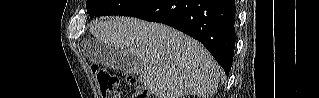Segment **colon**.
<instances>
[{"label":"colon","instance_id":"5ec220e1","mask_svg":"<svg viewBox=\"0 0 319 98\" xmlns=\"http://www.w3.org/2000/svg\"><path fill=\"white\" fill-rule=\"evenodd\" d=\"M92 72L97 79L101 91V96L103 98L120 97V92L118 89L119 79L116 75L110 74L105 69L101 68L99 65H93ZM129 83L135 87L133 98L149 97V91L145 87L137 84L135 79L130 78Z\"/></svg>","mask_w":319,"mask_h":98}]
</instances>
